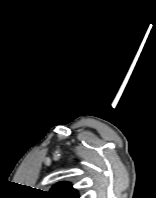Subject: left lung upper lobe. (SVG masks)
Instances as JSON below:
<instances>
[{"label": "left lung upper lobe", "mask_w": 156, "mask_h": 198, "mask_svg": "<svg viewBox=\"0 0 156 198\" xmlns=\"http://www.w3.org/2000/svg\"><path fill=\"white\" fill-rule=\"evenodd\" d=\"M48 198H79L78 193L70 183L61 182L45 192Z\"/></svg>", "instance_id": "1"}]
</instances>
